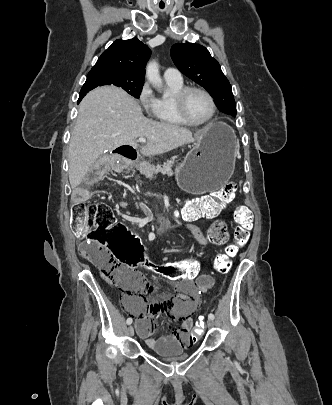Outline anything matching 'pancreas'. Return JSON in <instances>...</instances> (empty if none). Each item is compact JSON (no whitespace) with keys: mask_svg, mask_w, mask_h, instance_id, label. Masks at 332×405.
Masks as SVG:
<instances>
[{"mask_svg":"<svg viewBox=\"0 0 332 405\" xmlns=\"http://www.w3.org/2000/svg\"><path fill=\"white\" fill-rule=\"evenodd\" d=\"M174 164L173 160H169L165 162L164 164H157V166H154L151 168L152 173H162L163 175H167L171 177L173 175L172 171V166Z\"/></svg>","mask_w":332,"mask_h":405,"instance_id":"1","label":"pancreas"}]
</instances>
